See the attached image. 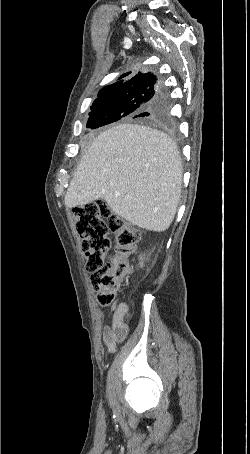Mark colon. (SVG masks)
<instances>
[{
    "label": "colon",
    "mask_w": 250,
    "mask_h": 454,
    "mask_svg": "<svg viewBox=\"0 0 250 454\" xmlns=\"http://www.w3.org/2000/svg\"><path fill=\"white\" fill-rule=\"evenodd\" d=\"M72 212L97 300L103 307L110 306L116 301L123 278L132 272L130 257L136 251L140 233L113 215L102 201L74 207ZM111 233L115 236L113 251Z\"/></svg>",
    "instance_id": "1"
}]
</instances>
